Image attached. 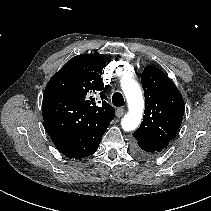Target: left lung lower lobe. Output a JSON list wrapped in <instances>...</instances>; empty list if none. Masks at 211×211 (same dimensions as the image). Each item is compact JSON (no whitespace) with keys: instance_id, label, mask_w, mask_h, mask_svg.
Returning <instances> with one entry per match:
<instances>
[{"instance_id":"left-lung-lower-lobe-1","label":"left lung lower lobe","mask_w":211,"mask_h":211,"mask_svg":"<svg viewBox=\"0 0 211 211\" xmlns=\"http://www.w3.org/2000/svg\"><path fill=\"white\" fill-rule=\"evenodd\" d=\"M133 155L139 159L147 160L153 158L156 153L144 146H135L133 149Z\"/></svg>"}]
</instances>
